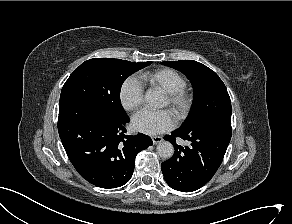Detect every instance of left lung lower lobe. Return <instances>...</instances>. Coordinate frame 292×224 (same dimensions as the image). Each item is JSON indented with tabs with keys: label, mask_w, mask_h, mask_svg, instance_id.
<instances>
[{
	"label": "left lung lower lobe",
	"mask_w": 292,
	"mask_h": 224,
	"mask_svg": "<svg viewBox=\"0 0 292 224\" xmlns=\"http://www.w3.org/2000/svg\"><path fill=\"white\" fill-rule=\"evenodd\" d=\"M232 129L205 132L175 130L166 135L175 148L174 155L161 164L167 184L181 192H192L206 184L215 174L227 150ZM176 137L190 141V146L176 144Z\"/></svg>",
	"instance_id": "obj_1"
}]
</instances>
